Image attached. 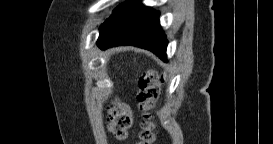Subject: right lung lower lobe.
<instances>
[{
  "instance_id": "obj_1",
  "label": "right lung lower lobe",
  "mask_w": 273,
  "mask_h": 144,
  "mask_svg": "<svg viewBox=\"0 0 273 144\" xmlns=\"http://www.w3.org/2000/svg\"><path fill=\"white\" fill-rule=\"evenodd\" d=\"M158 11L140 0H128L113 10L101 25L98 46L134 45L152 51L166 61L167 39L161 30Z\"/></svg>"
}]
</instances>
